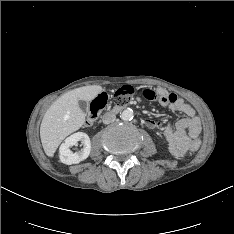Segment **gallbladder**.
Returning <instances> with one entry per match:
<instances>
[{"instance_id": "gallbladder-1", "label": "gallbladder", "mask_w": 234, "mask_h": 234, "mask_svg": "<svg viewBox=\"0 0 234 234\" xmlns=\"http://www.w3.org/2000/svg\"><path fill=\"white\" fill-rule=\"evenodd\" d=\"M79 107L81 108L82 111L86 112L88 109V105L87 102L83 101V100H79L78 102Z\"/></svg>"}]
</instances>
